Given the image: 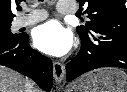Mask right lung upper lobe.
I'll list each match as a JSON object with an SVG mask.
<instances>
[{"label":"right lung upper lobe","mask_w":127,"mask_h":92,"mask_svg":"<svg viewBox=\"0 0 127 92\" xmlns=\"http://www.w3.org/2000/svg\"><path fill=\"white\" fill-rule=\"evenodd\" d=\"M21 2V0H0V25L11 24L14 15L11 12V6Z\"/></svg>","instance_id":"1"}]
</instances>
